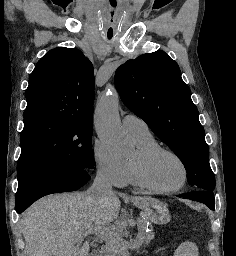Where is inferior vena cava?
<instances>
[{
  "label": "inferior vena cava",
  "mask_w": 236,
  "mask_h": 256,
  "mask_svg": "<svg viewBox=\"0 0 236 256\" xmlns=\"http://www.w3.org/2000/svg\"><path fill=\"white\" fill-rule=\"evenodd\" d=\"M88 192L96 200H104V198H111L113 196L114 192L112 190L109 170L98 168L96 178Z\"/></svg>",
  "instance_id": "602c4592"
}]
</instances>
